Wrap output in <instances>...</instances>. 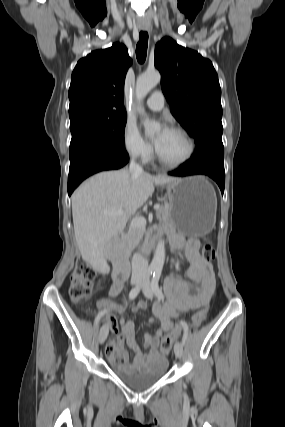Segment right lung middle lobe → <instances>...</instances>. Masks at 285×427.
Instances as JSON below:
<instances>
[{"mask_svg": "<svg viewBox=\"0 0 285 427\" xmlns=\"http://www.w3.org/2000/svg\"><path fill=\"white\" fill-rule=\"evenodd\" d=\"M70 116V159L83 146L99 143L123 150L126 112L83 111Z\"/></svg>", "mask_w": 285, "mask_h": 427, "instance_id": "1", "label": "right lung middle lobe"}]
</instances>
